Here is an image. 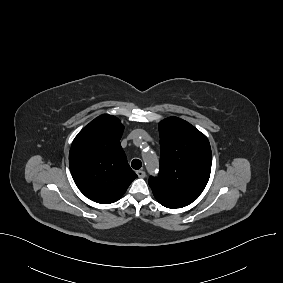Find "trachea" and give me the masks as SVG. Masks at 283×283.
<instances>
[{"mask_svg": "<svg viewBox=\"0 0 283 283\" xmlns=\"http://www.w3.org/2000/svg\"><path fill=\"white\" fill-rule=\"evenodd\" d=\"M131 166H132L133 169L138 170V169L141 168L142 163H141V161H140L139 159H134V160L131 162Z\"/></svg>", "mask_w": 283, "mask_h": 283, "instance_id": "3493384b", "label": "trachea"}]
</instances>
